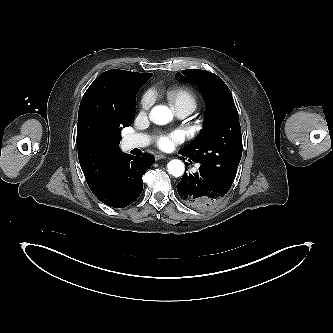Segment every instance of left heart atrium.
Here are the masks:
<instances>
[{
  "mask_svg": "<svg viewBox=\"0 0 333 333\" xmlns=\"http://www.w3.org/2000/svg\"><path fill=\"white\" fill-rule=\"evenodd\" d=\"M181 140L182 136L179 133H172L168 135H161L157 140V144L159 147L165 149L174 143L180 142Z\"/></svg>",
  "mask_w": 333,
  "mask_h": 333,
  "instance_id": "39dd6f15",
  "label": "left heart atrium"
}]
</instances>
